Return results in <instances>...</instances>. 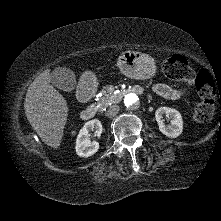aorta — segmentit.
<instances>
[{
	"label": "aorta",
	"instance_id": "obj_1",
	"mask_svg": "<svg viewBox=\"0 0 221 221\" xmlns=\"http://www.w3.org/2000/svg\"><path fill=\"white\" fill-rule=\"evenodd\" d=\"M124 104L128 108H135L139 104V98L136 93H128L124 96Z\"/></svg>",
	"mask_w": 221,
	"mask_h": 221
}]
</instances>
